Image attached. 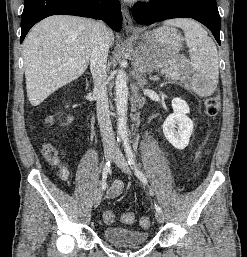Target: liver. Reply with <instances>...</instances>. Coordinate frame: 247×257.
Listing matches in <instances>:
<instances>
[{"mask_svg": "<svg viewBox=\"0 0 247 257\" xmlns=\"http://www.w3.org/2000/svg\"><path fill=\"white\" fill-rule=\"evenodd\" d=\"M95 22L69 15L50 16L36 24L23 42L27 96L38 106L59 88L79 78L91 57ZM109 32V44L114 34Z\"/></svg>", "mask_w": 247, "mask_h": 257, "instance_id": "obj_1", "label": "liver"}]
</instances>
